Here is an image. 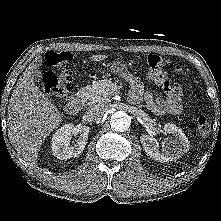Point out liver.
Instances as JSON below:
<instances>
[{
	"instance_id": "6515ba94",
	"label": "liver",
	"mask_w": 221,
	"mask_h": 221,
	"mask_svg": "<svg viewBox=\"0 0 221 221\" xmlns=\"http://www.w3.org/2000/svg\"><path fill=\"white\" fill-rule=\"evenodd\" d=\"M107 56H90L92 61H102ZM43 58L37 57L13 90L8 106V137L17 153L31 166L37 163L38 152L44 140L62 122V115L35 85L32 73L42 65Z\"/></svg>"
}]
</instances>
